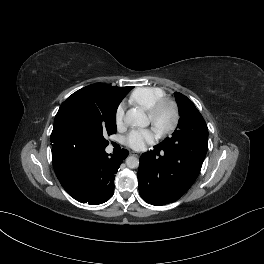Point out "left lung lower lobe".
I'll return each mask as SVG.
<instances>
[{"mask_svg":"<svg viewBox=\"0 0 264 264\" xmlns=\"http://www.w3.org/2000/svg\"><path fill=\"white\" fill-rule=\"evenodd\" d=\"M208 149V139L173 149L159 145L143 153L138 169L140 196L152 205L178 200L195 182Z\"/></svg>","mask_w":264,"mask_h":264,"instance_id":"left-lung-lower-lobe-1","label":"left lung lower lobe"}]
</instances>
